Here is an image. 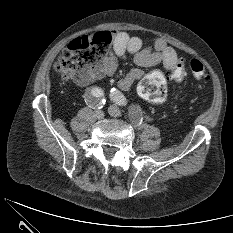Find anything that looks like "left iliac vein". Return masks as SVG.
Wrapping results in <instances>:
<instances>
[{
    "label": "left iliac vein",
    "mask_w": 233,
    "mask_h": 233,
    "mask_svg": "<svg viewBox=\"0 0 233 233\" xmlns=\"http://www.w3.org/2000/svg\"><path fill=\"white\" fill-rule=\"evenodd\" d=\"M108 112L112 117H119L121 115L120 109L116 105H111Z\"/></svg>",
    "instance_id": "4c4485c4"
}]
</instances>
